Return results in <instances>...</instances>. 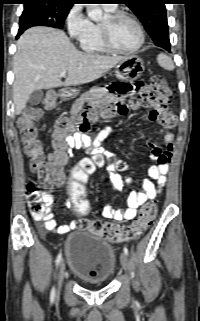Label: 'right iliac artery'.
Instances as JSON below:
<instances>
[{"label": "right iliac artery", "mask_w": 200, "mask_h": 321, "mask_svg": "<svg viewBox=\"0 0 200 321\" xmlns=\"http://www.w3.org/2000/svg\"><path fill=\"white\" fill-rule=\"evenodd\" d=\"M61 260H62V253L60 252V253L58 254L57 258H56V266H58V265L60 264ZM55 294H56V293H55V288L52 287L51 293H50V299H51V301H53V300L55 299Z\"/></svg>", "instance_id": "1"}]
</instances>
